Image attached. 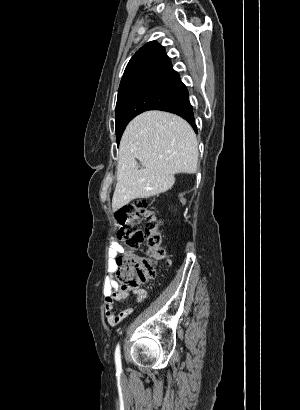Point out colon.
<instances>
[{
  "mask_svg": "<svg viewBox=\"0 0 300 410\" xmlns=\"http://www.w3.org/2000/svg\"><path fill=\"white\" fill-rule=\"evenodd\" d=\"M115 218L119 224V239L132 248L146 244L148 251L146 257L133 252L122 255L117 260V282L123 290H130L154 281L157 277L156 262L169 263L159 219L144 200L119 209ZM140 220L144 221L142 228L138 227Z\"/></svg>",
  "mask_w": 300,
  "mask_h": 410,
  "instance_id": "colon-1",
  "label": "colon"
}]
</instances>
